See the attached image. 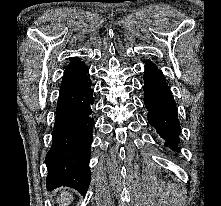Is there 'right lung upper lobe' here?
Instances as JSON below:
<instances>
[{
  "label": "right lung upper lobe",
  "instance_id": "obj_1",
  "mask_svg": "<svg viewBox=\"0 0 221 206\" xmlns=\"http://www.w3.org/2000/svg\"><path fill=\"white\" fill-rule=\"evenodd\" d=\"M81 62H82V61H81L79 58L73 59V60L71 61V63L68 65V67H67L66 70H68V69H70V68H72V67H74V66L80 64Z\"/></svg>",
  "mask_w": 221,
  "mask_h": 206
}]
</instances>
